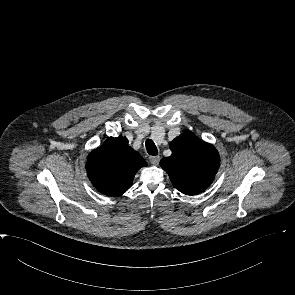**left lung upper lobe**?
<instances>
[{
    "label": "left lung upper lobe",
    "instance_id": "1",
    "mask_svg": "<svg viewBox=\"0 0 295 295\" xmlns=\"http://www.w3.org/2000/svg\"><path fill=\"white\" fill-rule=\"evenodd\" d=\"M171 156L160 161L175 188L186 195L203 192L214 180L220 166L215 147L186 131L170 144Z\"/></svg>",
    "mask_w": 295,
    "mask_h": 295
}]
</instances>
